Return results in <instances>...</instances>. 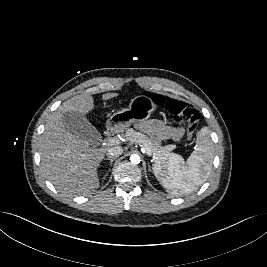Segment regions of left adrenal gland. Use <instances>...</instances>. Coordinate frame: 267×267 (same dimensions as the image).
I'll return each mask as SVG.
<instances>
[{
  "label": "left adrenal gland",
  "instance_id": "left-adrenal-gland-1",
  "mask_svg": "<svg viewBox=\"0 0 267 267\" xmlns=\"http://www.w3.org/2000/svg\"><path fill=\"white\" fill-rule=\"evenodd\" d=\"M148 167H149V169H148V170H149V171H151V166H150V164H149V163H148Z\"/></svg>",
  "mask_w": 267,
  "mask_h": 267
}]
</instances>
